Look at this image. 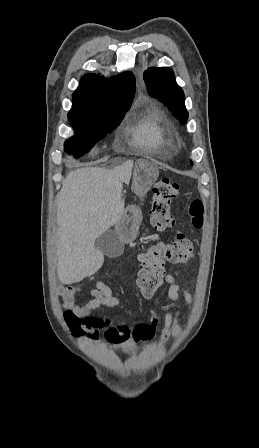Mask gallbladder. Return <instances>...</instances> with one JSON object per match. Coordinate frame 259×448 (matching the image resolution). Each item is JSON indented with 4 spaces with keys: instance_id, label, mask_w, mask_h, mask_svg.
<instances>
[{
    "instance_id": "1",
    "label": "gallbladder",
    "mask_w": 259,
    "mask_h": 448,
    "mask_svg": "<svg viewBox=\"0 0 259 448\" xmlns=\"http://www.w3.org/2000/svg\"><path fill=\"white\" fill-rule=\"evenodd\" d=\"M95 246L99 252H102L108 258H118L124 252V244L113 230H107V232L101 234L97 238Z\"/></svg>"
}]
</instances>
